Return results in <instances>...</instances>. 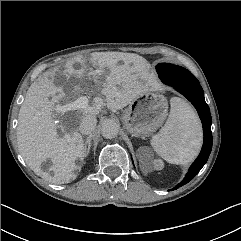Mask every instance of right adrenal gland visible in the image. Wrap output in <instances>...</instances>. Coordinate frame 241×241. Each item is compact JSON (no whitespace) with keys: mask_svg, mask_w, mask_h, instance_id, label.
<instances>
[{"mask_svg":"<svg viewBox=\"0 0 241 241\" xmlns=\"http://www.w3.org/2000/svg\"><path fill=\"white\" fill-rule=\"evenodd\" d=\"M84 147L86 150V156L90 153V148H91V135L86 137L85 142H84Z\"/></svg>","mask_w":241,"mask_h":241,"instance_id":"1","label":"right adrenal gland"}]
</instances>
